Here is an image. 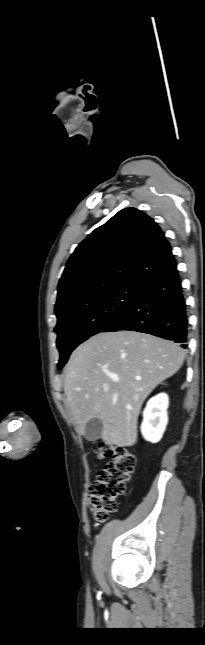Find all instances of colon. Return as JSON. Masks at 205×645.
Segmentation results:
<instances>
[{
	"instance_id": "obj_1",
	"label": "colon",
	"mask_w": 205,
	"mask_h": 645,
	"mask_svg": "<svg viewBox=\"0 0 205 645\" xmlns=\"http://www.w3.org/2000/svg\"><path fill=\"white\" fill-rule=\"evenodd\" d=\"M99 457L110 458L111 461L98 473L92 484L89 506L94 519L102 523L116 512V499L125 493L136 460L124 447L107 443L100 444Z\"/></svg>"
}]
</instances>
